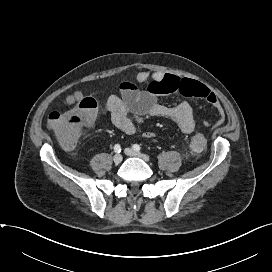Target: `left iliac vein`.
Segmentation results:
<instances>
[{"instance_id":"obj_1","label":"left iliac vein","mask_w":272,"mask_h":272,"mask_svg":"<svg viewBox=\"0 0 272 272\" xmlns=\"http://www.w3.org/2000/svg\"><path fill=\"white\" fill-rule=\"evenodd\" d=\"M124 152H125V154L128 155V156H131V157H138V158L143 159V160L146 161V162L149 161V157H148L147 155L142 154V153H140V152H137V151H135V150H133V149L126 148V149L124 150Z\"/></svg>"}]
</instances>
